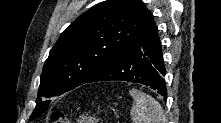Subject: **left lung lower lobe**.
<instances>
[{"label": "left lung lower lobe", "instance_id": "1", "mask_svg": "<svg viewBox=\"0 0 221 123\" xmlns=\"http://www.w3.org/2000/svg\"><path fill=\"white\" fill-rule=\"evenodd\" d=\"M161 42L155 22L136 41L98 70L86 83L121 80L136 82L157 91L166 100Z\"/></svg>", "mask_w": 221, "mask_h": 123}]
</instances>
